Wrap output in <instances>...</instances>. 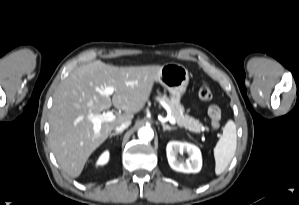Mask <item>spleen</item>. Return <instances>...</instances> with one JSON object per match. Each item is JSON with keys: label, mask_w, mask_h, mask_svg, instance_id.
Masks as SVG:
<instances>
[{"label": "spleen", "mask_w": 299, "mask_h": 205, "mask_svg": "<svg viewBox=\"0 0 299 205\" xmlns=\"http://www.w3.org/2000/svg\"><path fill=\"white\" fill-rule=\"evenodd\" d=\"M237 146L236 125L229 120L223 128V135L214 148L215 174H222L233 159Z\"/></svg>", "instance_id": "3e777b00"}]
</instances>
